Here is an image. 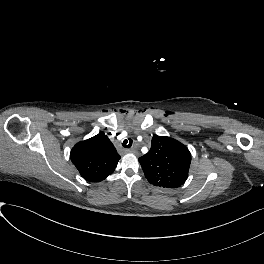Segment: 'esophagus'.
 I'll use <instances>...</instances> for the list:
<instances>
[{
  "mask_svg": "<svg viewBox=\"0 0 264 264\" xmlns=\"http://www.w3.org/2000/svg\"><path fill=\"white\" fill-rule=\"evenodd\" d=\"M136 149L135 148H131V149H126V152L128 153H136Z\"/></svg>",
  "mask_w": 264,
  "mask_h": 264,
  "instance_id": "obj_1",
  "label": "esophagus"
}]
</instances>
